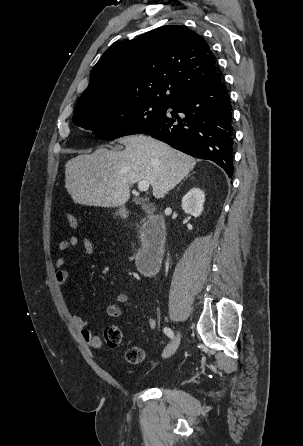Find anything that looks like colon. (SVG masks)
I'll use <instances>...</instances> for the list:
<instances>
[{"label": "colon", "mask_w": 303, "mask_h": 446, "mask_svg": "<svg viewBox=\"0 0 303 446\" xmlns=\"http://www.w3.org/2000/svg\"><path fill=\"white\" fill-rule=\"evenodd\" d=\"M67 221L72 229L79 227L77 218L71 214H67ZM104 339L111 348L121 347L124 343L123 334L119 327L111 325L105 328ZM144 358L143 350L138 346H129L125 350V359L130 364H139Z\"/></svg>", "instance_id": "5ec220e1"}]
</instances>
